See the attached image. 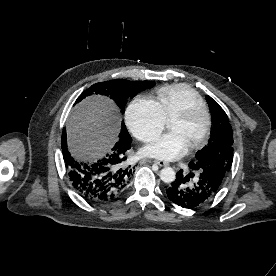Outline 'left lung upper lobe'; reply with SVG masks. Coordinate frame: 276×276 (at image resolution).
<instances>
[{
	"label": "left lung upper lobe",
	"instance_id": "obj_1",
	"mask_svg": "<svg viewBox=\"0 0 276 276\" xmlns=\"http://www.w3.org/2000/svg\"><path fill=\"white\" fill-rule=\"evenodd\" d=\"M206 100L212 115L211 136L208 145L196 154L192 164L198 167L197 170L207 167L224 183L233 162V131L220 105L210 96H206Z\"/></svg>",
	"mask_w": 276,
	"mask_h": 276
}]
</instances>
